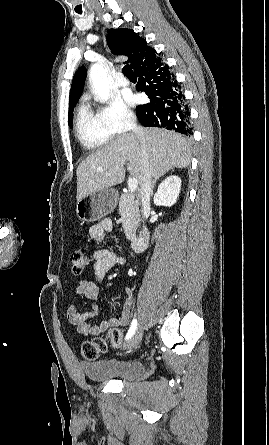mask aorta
<instances>
[{
  "label": "aorta",
  "instance_id": "aorta-1",
  "mask_svg": "<svg viewBox=\"0 0 269 445\" xmlns=\"http://www.w3.org/2000/svg\"><path fill=\"white\" fill-rule=\"evenodd\" d=\"M89 79L100 102H106L109 99L110 90L107 74L103 67L97 63L93 64L90 68Z\"/></svg>",
  "mask_w": 269,
  "mask_h": 445
}]
</instances>
